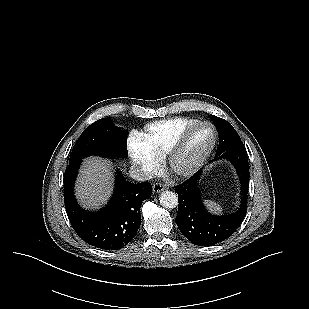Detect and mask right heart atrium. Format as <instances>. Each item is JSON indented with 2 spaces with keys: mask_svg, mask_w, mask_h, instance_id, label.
<instances>
[{
  "mask_svg": "<svg viewBox=\"0 0 309 309\" xmlns=\"http://www.w3.org/2000/svg\"><path fill=\"white\" fill-rule=\"evenodd\" d=\"M128 150L132 164L139 170L142 177L148 179L157 173L159 159L138 141V137L129 139Z\"/></svg>",
  "mask_w": 309,
  "mask_h": 309,
  "instance_id": "right-heart-atrium-1",
  "label": "right heart atrium"
}]
</instances>
